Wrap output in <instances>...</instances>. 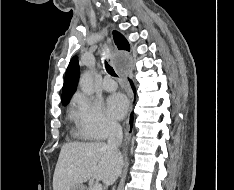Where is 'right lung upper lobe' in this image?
Here are the masks:
<instances>
[{"instance_id": "cb5924a9", "label": "right lung upper lobe", "mask_w": 234, "mask_h": 190, "mask_svg": "<svg viewBox=\"0 0 234 190\" xmlns=\"http://www.w3.org/2000/svg\"><path fill=\"white\" fill-rule=\"evenodd\" d=\"M114 41L119 50H130V46L126 38L119 32L113 31ZM79 78V64L78 58L74 56L66 70L64 85L62 89V104L68 103L73 93L76 90Z\"/></svg>"}]
</instances>
